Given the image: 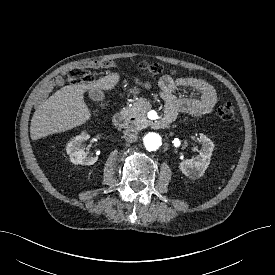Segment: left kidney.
I'll return each instance as SVG.
<instances>
[{
  "label": "left kidney",
  "instance_id": "obj_1",
  "mask_svg": "<svg viewBox=\"0 0 275 275\" xmlns=\"http://www.w3.org/2000/svg\"><path fill=\"white\" fill-rule=\"evenodd\" d=\"M200 140L202 142V148L199 154L179 164L180 171L191 179H197L203 176L210 164L214 148L213 142L206 135L200 134Z\"/></svg>",
  "mask_w": 275,
  "mask_h": 275
}]
</instances>
